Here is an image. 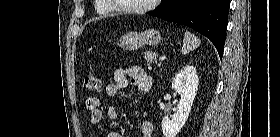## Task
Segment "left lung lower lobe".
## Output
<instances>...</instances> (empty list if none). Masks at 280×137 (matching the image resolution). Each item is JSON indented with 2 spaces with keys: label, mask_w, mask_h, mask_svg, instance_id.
Here are the masks:
<instances>
[{
  "label": "left lung lower lobe",
  "mask_w": 280,
  "mask_h": 137,
  "mask_svg": "<svg viewBox=\"0 0 280 137\" xmlns=\"http://www.w3.org/2000/svg\"><path fill=\"white\" fill-rule=\"evenodd\" d=\"M229 6V0H166L149 15L184 24L203 34L222 58Z\"/></svg>",
  "instance_id": "left-lung-lower-lobe-1"
}]
</instances>
